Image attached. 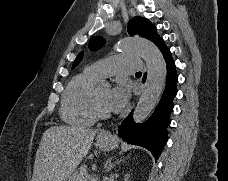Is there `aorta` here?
<instances>
[{"label": "aorta", "mask_w": 228, "mask_h": 181, "mask_svg": "<svg viewBox=\"0 0 228 181\" xmlns=\"http://www.w3.org/2000/svg\"><path fill=\"white\" fill-rule=\"evenodd\" d=\"M118 47L140 55L148 68L144 90L134 111V122L141 123L155 108L165 87L167 69L162 53L152 42L142 38H125Z\"/></svg>", "instance_id": "obj_1"}]
</instances>
